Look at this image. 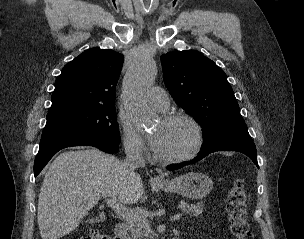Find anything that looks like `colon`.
<instances>
[{
  "mask_svg": "<svg viewBox=\"0 0 304 239\" xmlns=\"http://www.w3.org/2000/svg\"><path fill=\"white\" fill-rule=\"evenodd\" d=\"M247 204L248 197L244 181L238 178L230 188L226 206L230 230L235 239H253L248 221ZM80 239H108V237L98 232H92Z\"/></svg>",
  "mask_w": 304,
  "mask_h": 239,
  "instance_id": "5ec220e1",
  "label": "colon"
}]
</instances>
